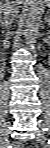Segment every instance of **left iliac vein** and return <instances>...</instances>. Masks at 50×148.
<instances>
[{"label": "left iliac vein", "instance_id": "1", "mask_svg": "<svg viewBox=\"0 0 50 148\" xmlns=\"http://www.w3.org/2000/svg\"><path fill=\"white\" fill-rule=\"evenodd\" d=\"M43 126H44V124H43ZM37 140L40 141V142H43L44 134H43L42 130H39L38 135H37Z\"/></svg>", "mask_w": 50, "mask_h": 148}]
</instances>
